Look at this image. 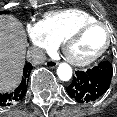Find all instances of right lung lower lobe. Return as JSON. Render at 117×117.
I'll return each instance as SVG.
<instances>
[{"label":"right lung lower lobe","mask_w":117,"mask_h":117,"mask_svg":"<svg viewBox=\"0 0 117 117\" xmlns=\"http://www.w3.org/2000/svg\"><path fill=\"white\" fill-rule=\"evenodd\" d=\"M33 66L27 63L24 66L23 77L20 85L12 93L1 94L0 93V107H7L19 102L27 91V81Z\"/></svg>","instance_id":"98d812e1"}]
</instances>
